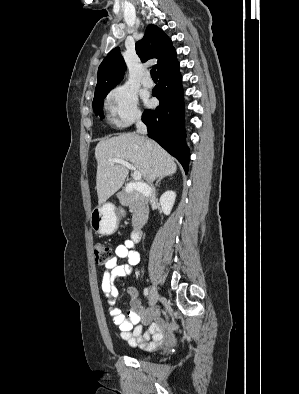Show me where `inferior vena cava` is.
I'll use <instances>...</instances> for the list:
<instances>
[{
    "label": "inferior vena cava",
    "instance_id": "1",
    "mask_svg": "<svg viewBox=\"0 0 299 394\" xmlns=\"http://www.w3.org/2000/svg\"><path fill=\"white\" fill-rule=\"evenodd\" d=\"M136 128H137V133H140L142 135L147 133V127L146 125L141 121V117H137L136 120ZM150 199L154 200L155 199V188L153 185H151V195Z\"/></svg>",
    "mask_w": 299,
    "mask_h": 394
}]
</instances>
